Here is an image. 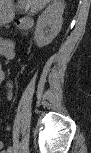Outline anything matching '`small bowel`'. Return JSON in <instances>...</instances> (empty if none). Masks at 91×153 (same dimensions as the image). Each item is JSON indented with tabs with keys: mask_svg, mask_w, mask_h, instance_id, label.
<instances>
[{
	"mask_svg": "<svg viewBox=\"0 0 91 153\" xmlns=\"http://www.w3.org/2000/svg\"><path fill=\"white\" fill-rule=\"evenodd\" d=\"M13 51V43L12 42H9L8 44H6L4 47H3V53L6 57H10L11 56V53ZM5 78V75L4 73H1L0 74V79L1 80H4ZM9 87H11V84H8ZM12 97H13V93L11 90H9L7 93H6V100L7 101H11L12 100ZM7 153H11L12 152V148L9 147L7 150H6Z\"/></svg>",
	"mask_w": 91,
	"mask_h": 153,
	"instance_id": "c3829d8e",
	"label": "small bowel"
}]
</instances>
